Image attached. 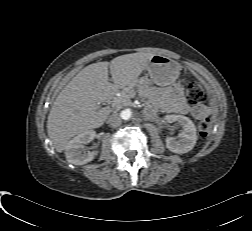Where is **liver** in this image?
<instances>
[{
    "label": "liver",
    "instance_id": "obj_1",
    "mask_svg": "<svg viewBox=\"0 0 252 231\" xmlns=\"http://www.w3.org/2000/svg\"><path fill=\"white\" fill-rule=\"evenodd\" d=\"M153 56L126 54L82 69L59 93L48 115L47 132L56 151H64L72 137L102 126L110 108L99 104L112 100L120 89L130 92L137 86ZM109 68L113 83L109 82Z\"/></svg>",
    "mask_w": 252,
    "mask_h": 231
}]
</instances>
